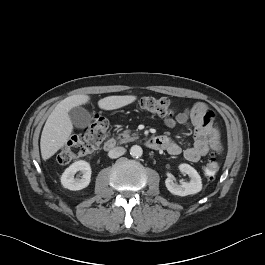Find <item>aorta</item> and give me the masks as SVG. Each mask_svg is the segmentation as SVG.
Segmentation results:
<instances>
[{"label": "aorta", "instance_id": "762f6f07", "mask_svg": "<svg viewBox=\"0 0 265 265\" xmlns=\"http://www.w3.org/2000/svg\"><path fill=\"white\" fill-rule=\"evenodd\" d=\"M143 154V150L139 145H133L130 149V155L132 157L138 158L141 157Z\"/></svg>", "mask_w": 265, "mask_h": 265}]
</instances>
